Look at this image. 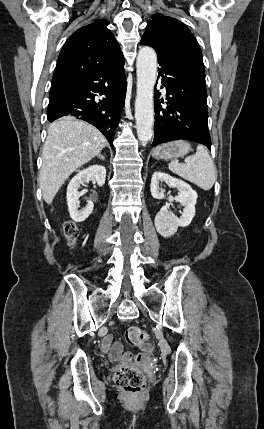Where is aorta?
<instances>
[{
	"label": "aorta",
	"mask_w": 264,
	"mask_h": 429,
	"mask_svg": "<svg viewBox=\"0 0 264 429\" xmlns=\"http://www.w3.org/2000/svg\"><path fill=\"white\" fill-rule=\"evenodd\" d=\"M137 95L135 118L137 136L146 145L153 135V94L156 81L157 55L151 47H142L137 56Z\"/></svg>",
	"instance_id": "obj_1"
}]
</instances>
